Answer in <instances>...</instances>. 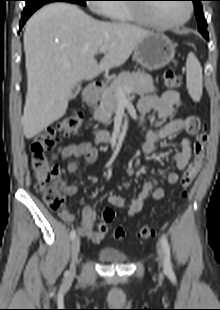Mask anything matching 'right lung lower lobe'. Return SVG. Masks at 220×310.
I'll return each mask as SVG.
<instances>
[{
	"mask_svg": "<svg viewBox=\"0 0 220 310\" xmlns=\"http://www.w3.org/2000/svg\"><path fill=\"white\" fill-rule=\"evenodd\" d=\"M57 1H66V2H70L67 0H57ZM73 3V2H70ZM44 5V4H43ZM35 6V7H25L22 13V17H21V21H20V29H22L23 25L25 24V22L27 21V19L37 10L39 9L41 6Z\"/></svg>",
	"mask_w": 220,
	"mask_h": 310,
	"instance_id": "right-lung-lower-lobe-1",
	"label": "right lung lower lobe"
}]
</instances>
